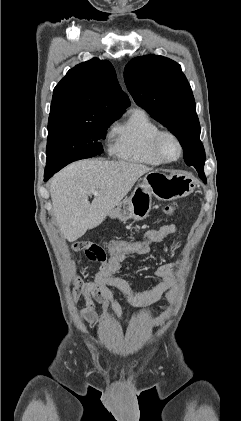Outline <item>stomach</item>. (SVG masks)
Wrapping results in <instances>:
<instances>
[{"label":"stomach","instance_id":"1","mask_svg":"<svg viewBox=\"0 0 241 421\" xmlns=\"http://www.w3.org/2000/svg\"><path fill=\"white\" fill-rule=\"evenodd\" d=\"M195 187V179L186 173L150 171L135 187L131 196L121 201L109 216L123 222L129 219L144 220L152 207V195L162 201H172L188 196Z\"/></svg>","mask_w":241,"mask_h":421}]
</instances>
